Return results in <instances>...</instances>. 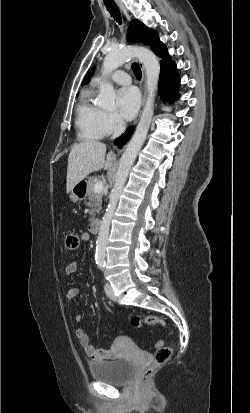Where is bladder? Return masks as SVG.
<instances>
[{"label":"bladder","instance_id":"obj_1","mask_svg":"<svg viewBox=\"0 0 250 413\" xmlns=\"http://www.w3.org/2000/svg\"><path fill=\"white\" fill-rule=\"evenodd\" d=\"M89 370L94 380L111 385H123L132 376L134 364L128 358H117L111 361L92 362Z\"/></svg>","mask_w":250,"mask_h":413}]
</instances>
